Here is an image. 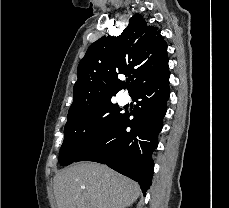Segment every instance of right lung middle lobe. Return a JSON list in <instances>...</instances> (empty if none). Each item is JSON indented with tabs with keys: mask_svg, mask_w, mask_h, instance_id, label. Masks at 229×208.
I'll return each instance as SVG.
<instances>
[{
	"mask_svg": "<svg viewBox=\"0 0 229 208\" xmlns=\"http://www.w3.org/2000/svg\"><path fill=\"white\" fill-rule=\"evenodd\" d=\"M121 110L111 100H106L82 115L68 118L59 154L60 165L66 166L75 162L113 130L123 116Z\"/></svg>",
	"mask_w": 229,
	"mask_h": 208,
	"instance_id": "1",
	"label": "right lung middle lobe"
}]
</instances>
